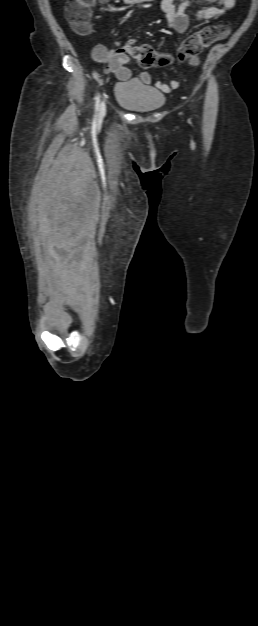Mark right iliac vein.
<instances>
[{
	"label": "right iliac vein",
	"mask_w": 258,
	"mask_h": 626,
	"mask_svg": "<svg viewBox=\"0 0 258 626\" xmlns=\"http://www.w3.org/2000/svg\"><path fill=\"white\" fill-rule=\"evenodd\" d=\"M106 111V105L104 102L101 103L100 105V113H99V118H102L105 114Z\"/></svg>",
	"instance_id": "right-iliac-vein-1"
}]
</instances>
